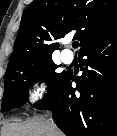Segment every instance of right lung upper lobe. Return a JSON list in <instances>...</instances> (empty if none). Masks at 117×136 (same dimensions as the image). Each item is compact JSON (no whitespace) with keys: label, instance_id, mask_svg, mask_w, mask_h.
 I'll return each mask as SVG.
<instances>
[{"label":"right lung upper lobe","instance_id":"right-lung-upper-lobe-1","mask_svg":"<svg viewBox=\"0 0 117 136\" xmlns=\"http://www.w3.org/2000/svg\"><path fill=\"white\" fill-rule=\"evenodd\" d=\"M115 28L117 0H34L22 16L8 65L52 56L59 46L54 41L71 31L83 48Z\"/></svg>","mask_w":117,"mask_h":136}]
</instances>
